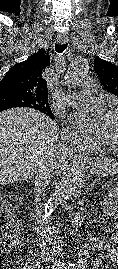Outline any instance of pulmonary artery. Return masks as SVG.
Wrapping results in <instances>:
<instances>
[{
	"instance_id": "pulmonary-artery-1",
	"label": "pulmonary artery",
	"mask_w": 118,
	"mask_h": 269,
	"mask_svg": "<svg viewBox=\"0 0 118 269\" xmlns=\"http://www.w3.org/2000/svg\"><path fill=\"white\" fill-rule=\"evenodd\" d=\"M98 91V83L92 78H86L83 82V90L80 92L69 93L66 97V103L68 105H79L93 99Z\"/></svg>"
}]
</instances>
